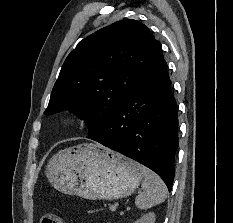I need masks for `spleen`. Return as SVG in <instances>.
<instances>
[{
	"instance_id": "spleen-1",
	"label": "spleen",
	"mask_w": 233,
	"mask_h": 223,
	"mask_svg": "<svg viewBox=\"0 0 233 223\" xmlns=\"http://www.w3.org/2000/svg\"><path fill=\"white\" fill-rule=\"evenodd\" d=\"M143 175L142 187L144 191H141V193L137 195L135 205L139 207V209H148V207H152V205H157V203L165 201L167 187L163 179H161L157 173L151 171V169L143 167Z\"/></svg>"
}]
</instances>
